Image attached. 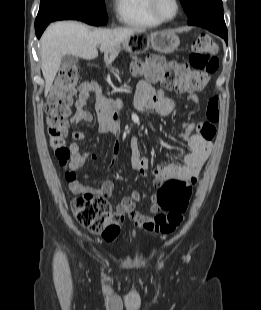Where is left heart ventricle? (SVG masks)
I'll list each match as a JSON object with an SVG mask.
<instances>
[{
    "mask_svg": "<svg viewBox=\"0 0 261 310\" xmlns=\"http://www.w3.org/2000/svg\"><path fill=\"white\" fill-rule=\"evenodd\" d=\"M175 9L173 0H158V10L164 17H171L175 13Z\"/></svg>",
    "mask_w": 261,
    "mask_h": 310,
    "instance_id": "b2bd125f",
    "label": "left heart ventricle"
}]
</instances>
